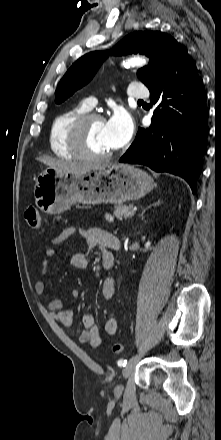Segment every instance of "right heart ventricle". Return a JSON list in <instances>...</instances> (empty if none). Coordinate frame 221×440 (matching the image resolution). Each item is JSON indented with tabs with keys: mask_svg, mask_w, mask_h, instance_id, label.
Masks as SVG:
<instances>
[{
	"mask_svg": "<svg viewBox=\"0 0 221 440\" xmlns=\"http://www.w3.org/2000/svg\"><path fill=\"white\" fill-rule=\"evenodd\" d=\"M90 108L87 101H83L62 111L53 119L49 131V145L56 156L64 159L78 158L69 145L68 131L71 123L78 116L89 112Z\"/></svg>",
	"mask_w": 221,
	"mask_h": 440,
	"instance_id": "e07e8e85",
	"label": "right heart ventricle"
}]
</instances>
